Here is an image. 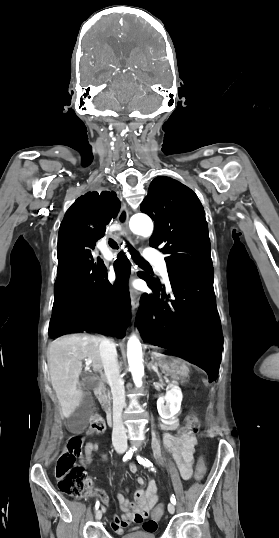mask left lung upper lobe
Here are the masks:
<instances>
[{
	"instance_id": "obj_1",
	"label": "left lung upper lobe",
	"mask_w": 279,
	"mask_h": 538,
	"mask_svg": "<svg viewBox=\"0 0 279 538\" xmlns=\"http://www.w3.org/2000/svg\"><path fill=\"white\" fill-rule=\"evenodd\" d=\"M140 209L155 222L150 246H160V251L168 255L165 260L170 278L213 268L205 214L191 189L159 176L151 182Z\"/></svg>"
}]
</instances>
